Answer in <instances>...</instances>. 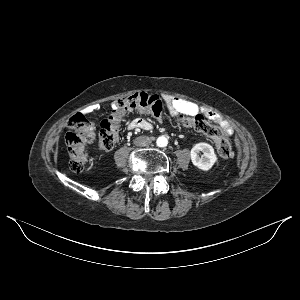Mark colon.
<instances>
[{"label": "colon", "instance_id": "obj_1", "mask_svg": "<svg viewBox=\"0 0 300 300\" xmlns=\"http://www.w3.org/2000/svg\"><path fill=\"white\" fill-rule=\"evenodd\" d=\"M133 111L147 113L162 120L165 117L164 105L156 95L139 92L117 100L113 104L111 115L101 123L100 130L95 131L93 126L80 115L70 119V131L66 134V145L69 154V167L73 172H82L85 169L87 156L86 146L97 139L99 146L104 150L112 149L119 137L120 124L123 118ZM178 124L193 128L213 139L220 157L227 159L232 156V145L221 129L202 115H179Z\"/></svg>", "mask_w": 300, "mask_h": 300}]
</instances>
